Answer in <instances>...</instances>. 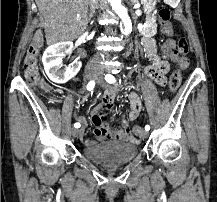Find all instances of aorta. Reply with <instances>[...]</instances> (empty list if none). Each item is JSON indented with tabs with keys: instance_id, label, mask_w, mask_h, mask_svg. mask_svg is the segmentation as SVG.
Wrapping results in <instances>:
<instances>
[{
	"instance_id": "762f6f07",
	"label": "aorta",
	"mask_w": 217,
	"mask_h": 202,
	"mask_svg": "<svg viewBox=\"0 0 217 202\" xmlns=\"http://www.w3.org/2000/svg\"><path fill=\"white\" fill-rule=\"evenodd\" d=\"M110 6H112V10H114L115 14L121 18L124 26V34L128 36L132 32V24L131 20L127 14L126 8L122 6L121 0H109Z\"/></svg>"
}]
</instances>
